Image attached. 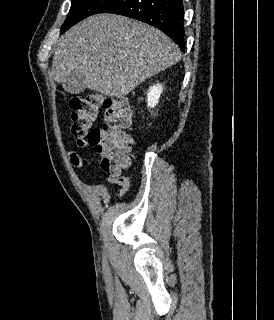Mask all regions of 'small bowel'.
I'll return each instance as SVG.
<instances>
[{
  "instance_id": "obj_1",
  "label": "small bowel",
  "mask_w": 274,
  "mask_h": 320,
  "mask_svg": "<svg viewBox=\"0 0 274 320\" xmlns=\"http://www.w3.org/2000/svg\"><path fill=\"white\" fill-rule=\"evenodd\" d=\"M89 142L87 139H79L77 141V147L79 148H84V147H87L89 146ZM68 157H69V160L71 162V164L78 168V169H84V163H83V159L81 157V155L79 154L78 151L76 150H71L68 152ZM80 179H82V177H79Z\"/></svg>"
}]
</instances>
